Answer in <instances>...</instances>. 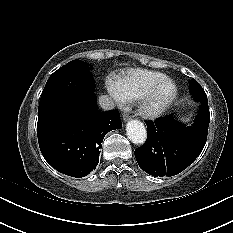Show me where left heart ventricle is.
I'll return each instance as SVG.
<instances>
[{
	"mask_svg": "<svg viewBox=\"0 0 233 233\" xmlns=\"http://www.w3.org/2000/svg\"><path fill=\"white\" fill-rule=\"evenodd\" d=\"M171 91V87L169 85L164 86L158 93L157 99L161 100L165 98Z\"/></svg>",
	"mask_w": 233,
	"mask_h": 233,
	"instance_id": "obj_1",
	"label": "left heart ventricle"
}]
</instances>
